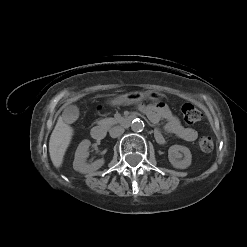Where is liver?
Instances as JSON below:
<instances>
[{
    "instance_id": "liver-1",
    "label": "liver",
    "mask_w": 247,
    "mask_h": 247,
    "mask_svg": "<svg viewBox=\"0 0 247 247\" xmlns=\"http://www.w3.org/2000/svg\"><path fill=\"white\" fill-rule=\"evenodd\" d=\"M73 134V128L66 124L60 116L49 140L50 158L56 168L61 167L65 152L72 140Z\"/></svg>"
}]
</instances>
